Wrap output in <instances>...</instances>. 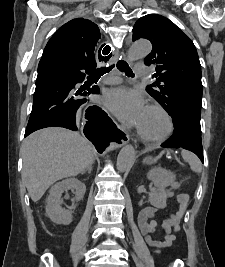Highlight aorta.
<instances>
[{"label": "aorta", "mask_w": 225, "mask_h": 267, "mask_svg": "<svg viewBox=\"0 0 225 267\" xmlns=\"http://www.w3.org/2000/svg\"><path fill=\"white\" fill-rule=\"evenodd\" d=\"M152 50L151 43L149 41H136L134 42L128 51V60L133 62L138 59H142L147 56ZM135 150L131 145L124 146L117 157V169L120 172L128 171L134 162Z\"/></svg>", "instance_id": "aorta-1"}]
</instances>
